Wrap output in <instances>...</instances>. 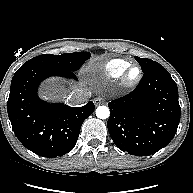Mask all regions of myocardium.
I'll use <instances>...</instances> for the list:
<instances>
[{
	"label": "myocardium",
	"instance_id": "1",
	"mask_svg": "<svg viewBox=\"0 0 193 193\" xmlns=\"http://www.w3.org/2000/svg\"><path fill=\"white\" fill-rule=\"evenodd\" d=\"M133 69H137L138 74L136 77L131 78L130 73ZM141 78H142L141 67L135 64H131L126 68V70L120 76V84L123 88H126V89L133 88L140 82Z\"/></svg>",
	"mask_w": 193,
	"mask_h": 193
}]
</instances>
